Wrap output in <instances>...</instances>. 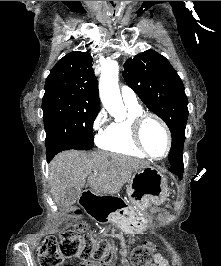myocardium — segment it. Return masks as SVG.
I'll use <instances>...</instances> for the list:
<instances>
[{
  "mask_svg": "<svg viewBox=\"0 0 221 266\" xmlns=\"http://www.w3.org/2000/svg\"><path fill=\"white\" fill-rule=\"evenodd\" d=\"M148 119H153L155 120L162 130L164 131L165 137H166V149L165 152L162 156L160 157H155L151 155L146 147L143 144L142 141V128L146 120ZM131 134H132V139L134 144L138 147V149L148 158L154 160V161H161L165 159L170 150H171V145H172V138H171V133L170 130L167 126V124L156 114L151 113V112H140L139 114L135 115L131 121Z\"/></svg>",
  "mask_w": 221,
  "mask_h": 266,
  "instance_id": "f54148a6",
  "label": "myocardium"
}]
</instances>
